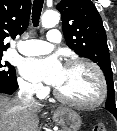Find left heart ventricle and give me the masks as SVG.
<instances>
[{
	"instance_id": "obj_1",
	"label": "left heart ventricle",
	"mask_w": 117,
	"mask_h": 131,
	"mask_svg": "<svg viewBox=\"0 0 117 131\" xmlns=\"http://www.w3.org/2000/svg\"><path fill=\"white\" fill-rule=\"evenodd\" d=\"M56 88L65 97L83 103L95 101L100 92L95 73L85 65L63 67Z\"/></svg>"
}]
</instances>
